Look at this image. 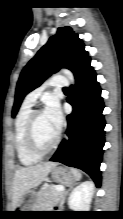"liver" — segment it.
Wrapping results in <instances>:
<instances>
[{
  "mask_svg": "<svg viewBox=\"0 0 123 219\" xmlns=\"http://www.w3.org/2000/svg\"><path fill=\"white\" fill-rule=\"evenodd\" d=\"M55 162H45L18 169L13 178L12 209H16L24 196L32 189L39 186L56 166Z\"/></svg>",
  "mask_w": 123,
  "mask_h": 219,
  "instance_id": "6515ba94",
  "label": "liver"
}]
</instances>
